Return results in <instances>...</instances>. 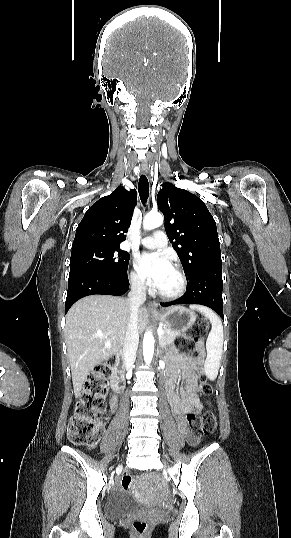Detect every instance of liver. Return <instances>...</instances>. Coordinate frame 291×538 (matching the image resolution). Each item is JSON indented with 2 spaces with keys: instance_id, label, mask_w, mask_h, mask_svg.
I'll return each mask as SVG.
<instances>
[{
  "instance_id": "1",
  "label": "liver",
  "mask_w": 291,
  "mask_h": 538,
  "mask_svg": "<svg viewBox=\"0 0 291 538\" xmlns=\"http://www.w3.org/2000/svg\"><path fill=\"white\" fill-rule=\"evenodd\" d=\"M129 317L128 299L109 295L84 297L68 311L65 341L76 397L89 372L121 351ZM147 318V309L140 307L137 313L139 332L144 331Z\"/></svg>"
}]
</instances>
